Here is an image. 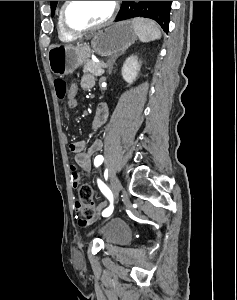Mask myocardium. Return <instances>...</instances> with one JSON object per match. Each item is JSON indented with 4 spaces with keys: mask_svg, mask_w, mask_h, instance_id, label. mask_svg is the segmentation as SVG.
I'll use <instances>...</instances> for the list:
<instances>
[{
    "mask_svg": "<svg viewBox=\"0 0 237 300\" xmlns=\"http://www.w3.org/2000/svg\"><path fill=\"white\" fill-rule=\"evenodd\" d=\"M72 1H65L62 11H61V24L63 29L70 35L75 36V35H80L86 32H91V31H97L101 30L107 26H109L115 19L118 11V3L117 1H112V10L110 12V15L101 23L89 26L86 28L82 29H74L72 28L68 22H67V12L69 9V6L71 5Z\"/></svg>",
    "mask_w": 237,
    "mask_h": 300,
    "instance_id": "obj_1",
    "label": "myocardium"
}]
</instances>
